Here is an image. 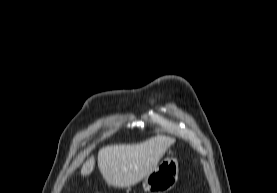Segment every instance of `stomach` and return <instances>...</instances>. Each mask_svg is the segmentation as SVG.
<instances>
[{
  "instance_id": "stomach-1",
  "label": "stomach",
  "mask_w": 277,
  "mask_h": 193,
  "mask_svg": "<svg viewBox=\"0 0 277 193\" xmlns=\"http://www.w3.org/2000/svg\"><path fill=\"white\" fill-rule=\"evenodd\" d=\"M178 161L167 156L142 181V187L148 193H166L178 180Z\"/></svg>"
}]
</instances>
